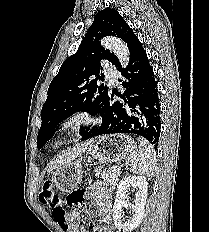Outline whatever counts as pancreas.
I'll return each instance as SVG.
<instances>
[{
    "instance_id": "pancreas-1",
    "label": "pancreas",
    "mask_w": 209,
    "mask_h": 232,
    "mask_svg": "<svg viewBox=\"0 0 209 232\" xmlns=\"http://www.w3.org/2000/svg\"><path fill=\"white\" fill-rule=\"evenodd\" d=\"M120 169L115 167H109L108 169L96 170V177H101L105 183L110 186V190H114L118 181Z\"/></svg>"
}]
</instances>
